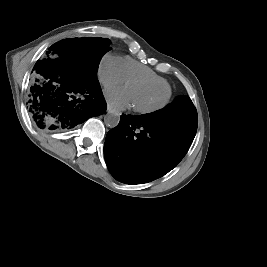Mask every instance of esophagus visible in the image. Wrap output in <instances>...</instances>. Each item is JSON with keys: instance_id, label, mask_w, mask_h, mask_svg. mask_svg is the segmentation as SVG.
<instances>
[{"instance_id": "34e87169", "label": "esophagus", "mask_w": 267, "mask_h": 267, "mask_svg": "<svg viewBox=\"0 0 267 267\" xmlns=\"http://www.w3.org/2000/svg\"><path fill=\"white\" fill-rule=\"evenodd\" d=\"M107 111L108 112H113V107L110 104H108V106H107Z\"/></svg>"}]
</instances>
